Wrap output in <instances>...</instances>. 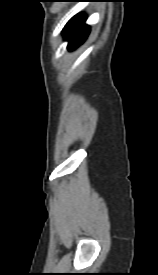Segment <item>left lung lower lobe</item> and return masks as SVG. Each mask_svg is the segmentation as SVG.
<instances>
[{
    "label": "left lung lower lobe",
    "mask_w": 158,
    "mask_h": 275,
    "mask_svg": "<svg viewBox=\"0 0 158 275\" xmlns=\"http://www.w3.org/2000/svg\"><path fill=\"white\" fill-rule=\"evenodd\" d=\"M85 20V15L78 14L74 16L64 27L63 34L64 38L69 41V50H73L78 47L88 36L90 30L89 26L84 24Z\"/></svg>",
    "instance_id": "1"
}]
</instances>
